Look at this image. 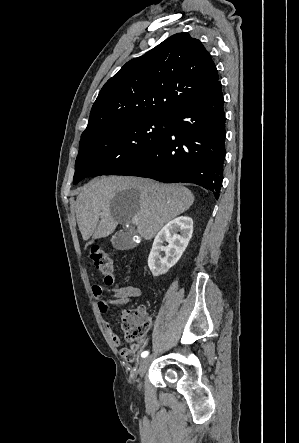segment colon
I'll use <instances>...</instances> for the list:
<instances>
[{
    "label": "colon",
    "instance_id": "colon-1",
    "mask_svg": "<svg viewBox=\"0 0 299 443\" xmlns=\"http://www.w3.org/2000/svg\"><path fill=\"white\" fill-rule=\"evenodd\" d=\"M89 257L103 275L105 284L113 285L115 282L114 262L111 256L101 246L93 244L89 247ZM121 320L124 339L128 343H134L144 338L151 326L150 318L141 308L124 311ZM123 354L129 355V352L125 350Z\"/></svg>",
    "mask_w": 299,
    "mask_h": 443
}]
</instances>
